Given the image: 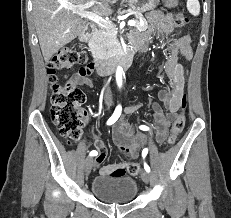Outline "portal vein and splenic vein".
Segmentation results:
<instances>
[{"mask_svg":"<svg viewBox=\"0 0 231 218\" xmlns=\"http://www.w3.org/2000/svg\"><path fill=\"white\" fill-rule=\"evenodd\" d=\"M95 0H91L85 4H80V5H71L68 8L70 10H72L74 13H78L81 16L101 25V26H106L108 24H111L110 21L105 20L104 18H102L100 15L96 14V13H92V12H86L85 10L89 7H91L92 5H94ZM129 26H135L136 25V21L135 20H130L128 22Z\"/></svg>","mask_w":231,"mask_h":218,"instance_id":"1","label":"portal vein and splenic vein"}]
</instances>
